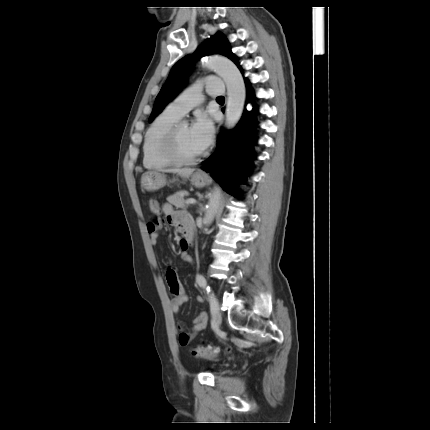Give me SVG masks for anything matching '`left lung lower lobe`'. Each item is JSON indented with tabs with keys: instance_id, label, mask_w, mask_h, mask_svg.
Returning <instances> with one entry per match:
<instances>
[{
	"instance_id": "0a47b994",
	"label": "left lung lower lobe",
	"mask_w": 430,
	"mask_h": 430,
	"mask_svg": "<svg viewBox=\"0 0 430 430\" xmlns=\"http://www.w3.org/2000/svg\"><path fill=\"white\" fill-rule=\"evenodd\" d=\"M244 80L247 86L246 102H249L254 97V93L249 87V81L246 78ZM255 112H257L256 108L251 112L245 109L237 126L231 131L221 133L216 151L202 167L233 196L239 195L236 185L246 179L251 165L256 140Z\"/></svg>"
}]
</instances>
